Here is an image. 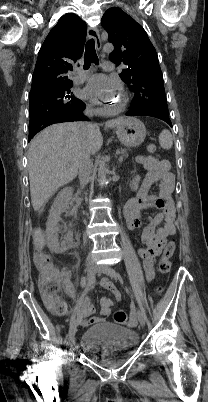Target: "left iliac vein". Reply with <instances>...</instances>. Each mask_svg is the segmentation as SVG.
<instances>
[{"label":"left iliac vein","mask_w":208,"mask_h":402,"mask_svg":"<svg viewBox=\"0 0 208 402\" xmlns=\"http://www.w3.org/2000/svg\"><path fill=\"white\" fill-rule=\"evenodd\" d=\"M96 269L98 272L103 273L115 280L120 279L118 273L112 267H110L108 265H99V266H97ZM137 317H138V320H139V323L141 324V326L144 327L145 326V316L141 310L137 311Z\"/></svg>","instance_id":"obj_1"}]
</instances>
